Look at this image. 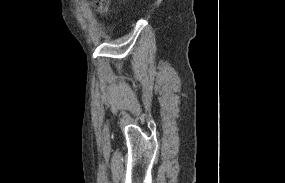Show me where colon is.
Instances as JSON below:
<instances>
[{
    "instance_id": "1",
    "label": "colon",
    "mask_w": 285,
    "mask_h": 183,
    "mask_svg": "<svg viewBox=\"0 0 285 183\" xmlns=\"http://www.w3.org/2000/svg\"><path fill=\"white\" fill-rule=\"evenodd\" d=\"M95 8L100 13H105L108 8V0H95Z\"/></svg>"
}]
</instances>
